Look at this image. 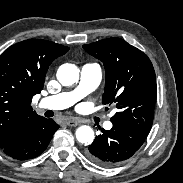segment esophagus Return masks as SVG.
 <instances>
[{
  "label": "esophagus",
  "instance_id": "obj_1",
  "mask_svg": "<svg viewBox=\"0 0 183 183\" xmlns=\"http://www.w3.org/2000/svg\"><path fill=\"white\" fill-rule=\"evenodd\" d=\"M81 122H82V121L77 120V119H68L65 123H66L68 126L74 127V126H77L78 124H80Z\"/></svg>",
  "mask_w": 183,
  "mask_h": 183
}]
</instances>
